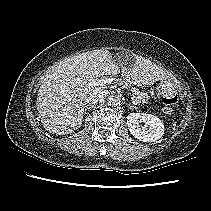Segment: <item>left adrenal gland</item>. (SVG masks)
I'll return each mask as SVG.
<instances>
[{
  "label": "left adrenal gland",
  "instance_id": "left-adrenal-gland-1",
  "mask_svg": "<svg viewBox=\"0 0 211 211\" xmlns=\"http://www.w3.org/2000/svg\"><path fill=\"white\" fill-rule=\"evenodd\" d=\"M129 108H130V109H137V107L134 106V105H133V106L129 105Z\"/></svg>",
  "mask_w": 211,
  "mask_h": 211
}]
</instances>
